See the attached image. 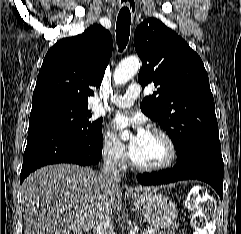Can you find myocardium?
Instances as JSON below:
<instances>
[{"mask_svg":"<svg viewBox=\"0 0 241 234\" xmlns=\"http://www.w3.org/2000/svg\"><path fill=\"white\" fill-rule=\"evenodd\" d=\"M148 132L157 134L164 139V141L167 144L168 150H169V155H168L167 160L158 165H144V164L137 162L134 159V157L132 155V151L130 149L129 160H130L131 165L134 168H136L137 170L143 171V172H159V171H163V170L170 168L177 159V147H176L174 140L172 139V137L169 135V133L167 131H165L164 129H162L160 127H152L148 130Z\"/></svg>","mask_w":241,"mask_h":234,"instance_id":"myocardium-1","label":"myocardium"}]
</instances>
